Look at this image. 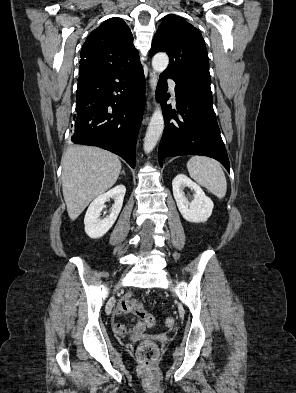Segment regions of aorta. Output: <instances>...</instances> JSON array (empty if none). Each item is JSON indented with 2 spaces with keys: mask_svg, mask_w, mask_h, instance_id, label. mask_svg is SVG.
I'll list each match as a JSON object with an SVG mask.
<instances>
[{
  "mask_svg": "<svg viewBox=\"0 0 296 393\" xmlns=\"http://www.w3.org/2000/svg\"><path fill=\"white\" fill-rule=\"evenodd\" d=\"M169 64V58L166 53L160 52L154 55L152 67L155 72L162 73ZM164 129V118L162 109L159 104L150 119L146 135L144 138L143 149L145 153H150L159 141Z\"/></svg>",
  "mask_w": 296,
  "mask_h": 393,
  "instance_id": "1",
  "label": "aorta"
}]
</instances>
